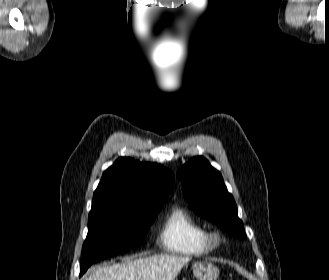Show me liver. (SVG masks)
<instances>
[{"instance_id": "1", "label": "liver", "mask_w": 329, "mask_h": 280, "mask_svg": "<svg viewBox=\"0 0 329 280\" xmlns=\"http://www.w3.org/2000/svg\"><path fill=\"white\" fill-rule=\"evenodd\" d=\"M191 259L167 254L128 258L123 263L94 269L85 280H175Z\"/></svg>"}]
</instances>
